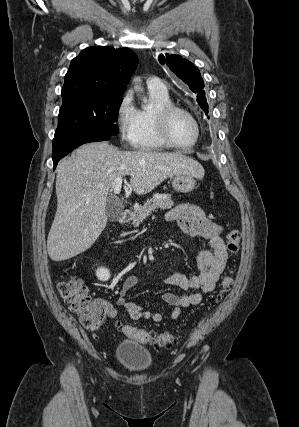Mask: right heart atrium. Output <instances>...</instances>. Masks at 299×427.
Returning <instances> with one entry per match:
<instances>
[{"mask_svg":"<svg viewBox=\"0 0 299 427\" xmlns=\"http://www.w3.org/2000/svg\"><path fill=\"white\" fill-rule=\"evenodd\" d=\"M115 122L121 141L126 145H134L138 131V115L129 91L125 92L118 102Z\"/></svg>","mask_w":299,"mask_h":427,"instance_id":"obj_1","label":"right heart atrium"}]
</instances>
